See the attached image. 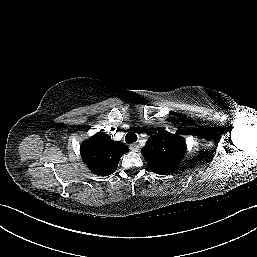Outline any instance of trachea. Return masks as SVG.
<instances>
[{
	"mask_svg": "<svg viewBox=\"0 0 257 257\" xmlns=\"http://www.w3.org/2000/svg\"><path fill=\"white\" fill-rule=\"evenodd\" d=\"M125 141L126 143H133L137 141V135L134 132H129L126 136H125Z\"/></svg>",
	"mask_w": 257,
	"mask_h": 257,
	"instance_id": "3493384b",
	"label": "trachea"
}]
</instances>
